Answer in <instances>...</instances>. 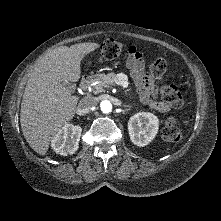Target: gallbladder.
I'll use <instances>...</instances> for the list:
<instances>
[{"label":"gallbladder","instance_id":"bac80fb5","mask_svg":"<svg viewBox=\"0 0 221 221\" xmlns=\"http://www.w3.org/2000/svg\"><path fill=\"white\" fill-rule=\"evenodd\" d=\"M62 84L70 91L75 90V84H73L72 82H62Z\"/></svg>","mask_w":221,"mask_h":221}]
</instances>
